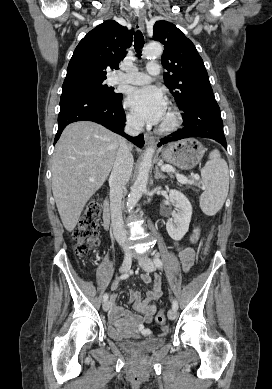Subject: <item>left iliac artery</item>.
<instances>
[{
	"label": "left iliac artery",
	"mask_w": 272,
	"mask_h": 389,
	"mask_svg": "<svg viewBox=\"0 0 272 389\" xmlns=\"http://www.w3.org/2000/svg\"><path fill=\"white\" fill-rule=\"evenodd\" d=\"M154 264H155V266L158 267L159 269H161L162 266H163V263H162L161 259L158 258V257H155V258H154ZM172 308H173L174 310H177V309H178V303H177L176 300H173V301H172Z\"/></svg>",
	"instance_id": "left-iliac-artery-1"
}]
</instances>
